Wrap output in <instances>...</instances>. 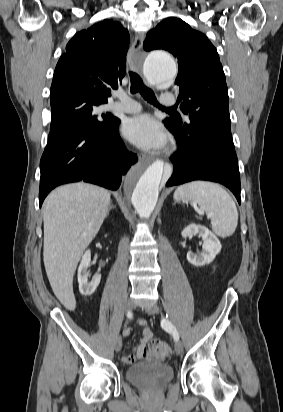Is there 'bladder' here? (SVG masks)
Masks as SVG:
<instances>
[{
    "mask_svg": "<svg viewBox=\"0 0 283 412\" xmlns=\"http://www.w3.org/2000/svg\"><path fill=\"white\" fill-rule=\"evenodd\" d=\"M125 376L138 387H162L173 380L174 370L165 362H142L128 367Z\"/></svg>",
    "mask_w": 283,
    "mask_h": 412,
    "instance_id": "31cf9c89",
    "label": "bladder"
}]
</instances>
